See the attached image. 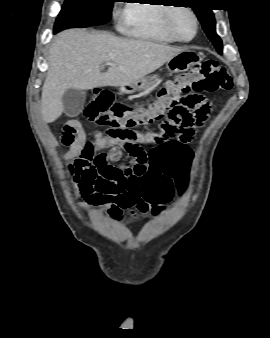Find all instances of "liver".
Returning <instances> with one entry per match:
<instances>
[{"instance_id":"1","label":"liver","mask_w":270,"mask_h":338,"mask_svg":"<svg viewBox=\"0 0 270 338\" xmlns=\"http://www.w3.org/2000/svg\"><path fill=\"white\" fill-rule=\"evenodd\" d=\"M185 50L146 40L122 39L106 32L64 30L49 49V68L41 96L43 121L51 123L61 116L62 96L67 89L129 85ZM105 62L114 65L102 73Z\"/></svg>"}]
</instances>
